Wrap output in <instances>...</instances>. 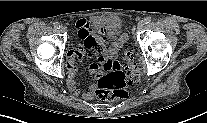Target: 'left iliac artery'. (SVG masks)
Masks as SVG:
<instances>
[{"instance_id": "left-iliac-artery-1", "label": "left iliac artery", "mask_w": 207, "mask_h": 123, "mask_svg": "<svg viewBox=\"0 0 207 123\" xmlns=\"http://www.w3.org/2000/svg\"><path fill=\"white\" fill-rule=\"evenodd\" d=\"M151 20H152V18H151L150 16H148V17H146V18L144 19V22H145L146 24H148V23L151 22Z\"/></svg>"}]
</instances>
